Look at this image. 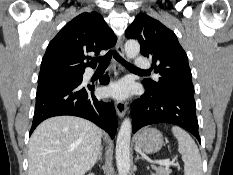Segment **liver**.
<instances>
[{"mask_svg":"<svg viewBox=\"0 0 233 175\" xmlns=\"http://www.w3.org/2000/svg\"><path fill=\"white\" fill-rule=\"evenodd\" d=\"M102 132L75 116H56L33 132L28 150V175H84L96 163Z\"/></svg>","mask_w":233,"mask_h":175,"instance_id":"1","label":"liver"}]
</instances>
